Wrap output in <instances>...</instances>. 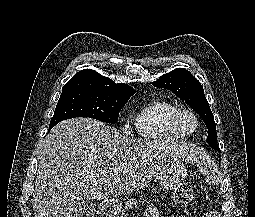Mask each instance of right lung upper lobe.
Segmentation results:
<instances>
[{
  "instance_id": "right-lung-upper-lobe-1",
  "label": "right lung upper lobe",
  "mask_w": 255,
  "mask_h": 217,
  "mask_svg": "<svg viewBox=\"0 0 255 217\" xmlns=\"http://www.w3.org/2000/svg\"><path fill=\"white\" fill-rule=\"evenodd\" d=\"M66 90H87L102 93L134 94L135 90L124 83H115L111 79L91 69L79 71L62 88Z\"/></svg>"
}]
</instances>
